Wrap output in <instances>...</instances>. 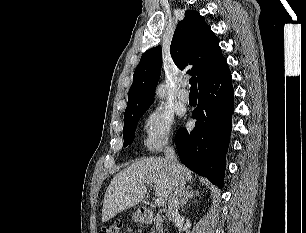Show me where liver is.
Wrapping results in <instances>:
<instances>
[{"mask_svg":"<svg viewBox=\"0 0 306 233\" xmlns=\"http://www.w3.org/2000/svg\"><path fill=\"white\" fill-rule=\"evenodd\" d=\"M181 167L184 179L192 182V172L184 166ZM149 184H154L155 196L165 201L169 199L173 187V174L167 159L147 158L116 174L104 195L102 222L139 204L144 199Z\"/></svg>","mask_w":306,"mask_h":233,"instance_id":"1","label":"liver"}]
</instances>
